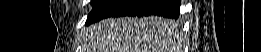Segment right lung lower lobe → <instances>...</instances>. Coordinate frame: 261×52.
Masks as SVG:
<instances>
[{
	"instance_id": "1",
	"label": "right lung lower lobe",
	"mask_w": 261,
	"mask_h": 52,
	"mask_svg": "<svg viewBox=\"0 0 261 52\" xmlns=\"http://www.w3.org/2000/svg\"><path fill=\"white\" fill-rule=\"evenodd\" d=\"M180 0H106L93 9L86 24L97 22L106 17L117 16H163L177 19Z\"/></svg>"
}]
</instances>
